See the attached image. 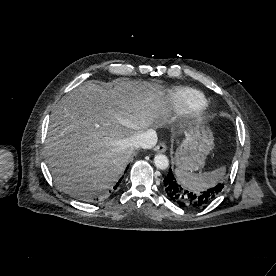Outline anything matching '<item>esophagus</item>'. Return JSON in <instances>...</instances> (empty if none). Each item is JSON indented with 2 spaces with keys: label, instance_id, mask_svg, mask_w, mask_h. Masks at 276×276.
Listing matches in <instances>:
<instances>
[{
  "label": "esophagus",
  "instance_id": "esophagus-1",
  "mask_svg": "<svg viewBox=\"0 0 276 276\" xmlns=\"http://www.w3.org/2000/svg\"><path fill=\"white\" fill-rule=\"evenodd\" d=\"M154 150H155L156 152H161V153H163V152H165V151L167 150V146H166L165 143L161 142V143H159V144L154 148Z\"/></svg>",
  "mask_w": 276,
  "mask_h": 276
}]
</instances>
